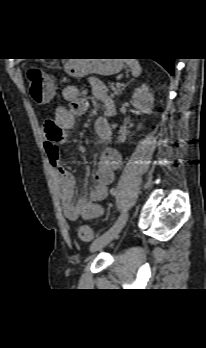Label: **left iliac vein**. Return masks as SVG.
I'll return each instance as SVG.
<instances>
[{"label":"left iliac vein","mask_w":206,"mask_h":348,"mask_svg":"<svg viewBox=\"0 0 206 348\" xmlns=\"http://www.w3.org/2000/svg\"><path fill=\"white\" fill-rule=\"evenodd\" d=\"M129 214L127 211L123 212L116 222L113 224V226L104 232L102 235H100L90 246L91 252H96L101 249H103L108 243H110L123 229L125 226L127 220H128Z\"/></svg>","instance_id":"left-iliac-vein-1"}]
</instances>
